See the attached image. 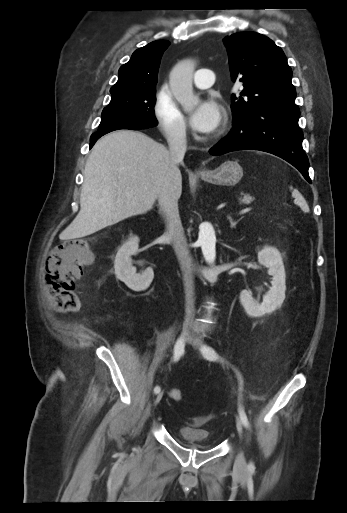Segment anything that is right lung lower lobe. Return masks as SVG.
I'll list each match as a JSON object with an SVG mask.
<instances>
[{"instance_id": "98d812e1", "label": "right lung lower lobe", "mask_w": 347, "mask_h": 513, "mask_svg": "<svg viewBox=\"0 0 347 513\" xmlns=\"http://www.w3.org/2000/svg\"><path fill=\"white\" fill-rule=\"evenodd\" d=\"M119 129H131V130H140V129H146V127H143V126H138V125H132V124H127V125H119V126H115V127H112V128H108V129H104V130H98L97 132H95L94 134H92L91 138H90V148H92V146L94 145V143L103 135H105L106 133H109L111 131H114V130H119Z\"/></svg>"}]
</instances>
